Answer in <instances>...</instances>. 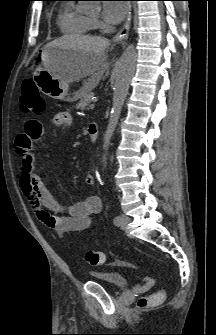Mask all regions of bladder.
Listing matches in <instances>:
<instances>
[{
    "label": "bladder",
    "mask_w": 216,
    "mask_h": 335,
    "mask_svg": "<svg viewBox=\"0 0 216 335\" xmlns=\"http://www.w3.org/2000/svg\"><path fill=\"white\" fill-rule=\"evenodd\" d=\"M90 277L98 282L106 284L115 289L124 288L127 284V275L120 271H100L90 272Z\"/></svg>",
    "instance_id": "31cf9c89"
}]
</instances>
